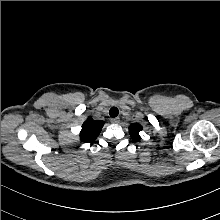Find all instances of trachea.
Wrapping results in <instances>:
<instances>
[{
    "label": "trachea",
    "mask_w": 220,
    "mask_h": 220,
    "mask_svg": "<svg viewBox=\"0 0 220 220\" xmlns=\"http://www.w3.org/2000/svg\"><path fill=\"white\" fill-rule=\"evenodd\" d=\"M119 114V110L117 107H112L109 111V115L111 117H116Z\"/></svg>",
    "instance_id": "3493384b"
}]
</instances>
